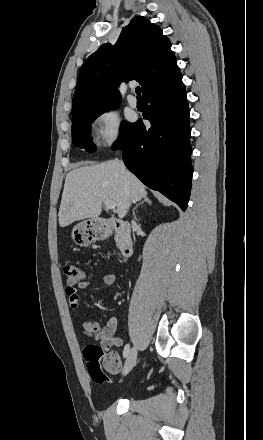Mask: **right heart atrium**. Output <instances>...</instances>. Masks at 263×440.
Instances as JSON below:
<instances>
[{"instance_id": "obj_1", "label": "right heart atrium", "mask_w": 263, "mask_h": 440, "mask_svg": "<svg viewBox=\"0 0 263 440\" xmlns=\"http://www.w3.org/2000/svg\"><path fill=\"white\" fill-rule=\"evenodd\" d=\"M96 144L101 148H109L121 139L122 121L113 109H105L98 113L93 121Z\"/></svg>"}]
</instances>
